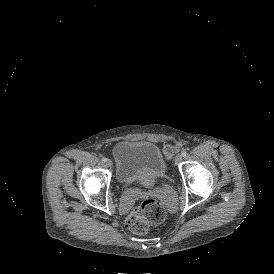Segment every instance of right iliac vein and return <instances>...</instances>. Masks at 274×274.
Here are the masks:
<instances>
[{
	"label": "right iliac vein",
	"mask_w": 274,
	"mask_h": 274,
	"mask_svg": "<svg viewBox=\"0 0 274 274\" xmlns=\"http://www.w3.org/2000/svg\"><path fill=\"white\" fill-rule=\"evenodd\" d=\"M106 166H107L108 168H111V167H112V161H111V160H107V161H106Z\"/></svg>",
	"instance_id": "1"
}]
</instances>
